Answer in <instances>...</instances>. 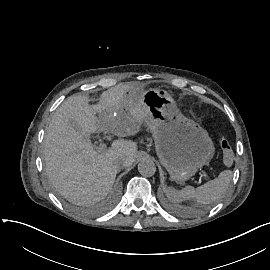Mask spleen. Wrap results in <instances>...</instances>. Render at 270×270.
<instances>
[{"label": "spleen", "mask_w": 270, "mask_h": 270, "mask_svg": "<svg viewBox=\"0 0 270 270\" xmlns=\"http://www.w3.org/2000/svg\"><path fill=\"white\" fill-rule=\"evenodd\" d=\"M232 176L233 173L231 170H224L217 178L196 189L192 186H187L180 191L169 189L168 195L169 197H177L178 199L196 198L198 203L210 204L211 202L220 199L222 195L225 194L229 187Z\"/></svg>", "instance_id": "3e777b00"}]
</instances>
